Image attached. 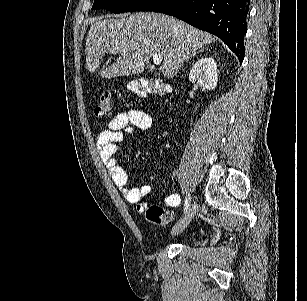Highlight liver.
Wrapping results in <instances>:
<instances>
[{
    "mask_svg": "<svg viewBox=\"0 0 307 301\" xmlns=\"http://www.w3.org/2000/svg\"><path fill=\"white\" fill-rule=\"evenodd\" d=\"M109 16L92 20L85 44L86 68L91 74L99 68L105 54H119L116 62L100 70L102 78L140 74L153 54H161L162 74L172 78L188 56L217 38L160 12H132L123 18ZM120 48H126L125 52Z\"/></svg>",
    "mask_w": 307,
    "mask_h": 301,
    "instance_id": "6515ba94",
    "label": "liver"
}]
</instances>
